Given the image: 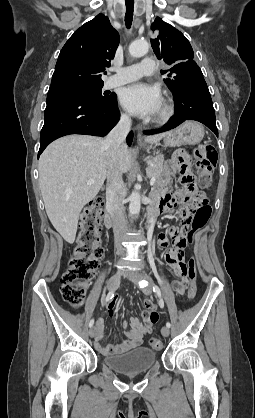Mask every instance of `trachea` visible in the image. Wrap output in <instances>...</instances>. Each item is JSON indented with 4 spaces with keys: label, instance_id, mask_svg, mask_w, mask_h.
Returning a JSON list of instances; mask_svg holds the SVG:
<instances>
[{
    "label": "trachea",
    "instance_id": "obj_1",
    "mask_svg": "<svg viewBox=\"0 0 255 418\" xmlns=\"http://www.w3.org/2000/svg\"><path fill=\"white\" fill-rule=\"evenodd\" d=\"M125 4H126L125 24L127 28H130L132 24V19H133L134 0H125Z\"/></svg>",
    "mask_w": 255,
    "mask_h": 418
}]
</instances>
